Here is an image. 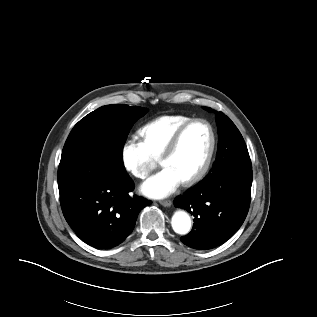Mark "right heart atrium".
<instances>
[{"label": "right heart atrium", "mask_w": 317, "mask_h": 317, "mask_svg": "<svg viewBox=\"0 0 317 317\" xmlns=\"http://www.w3.org/2000/svg\"><path fill=\"white\" fill-rule=\"evenodd\" d=\"M121 161L128 173L135 178L145 179L156 165L157 159L150 154L142 140L130 138L122 145Z\"/></svg>", "instance_id": "right-heart-atrium-1"}]
</instances>
